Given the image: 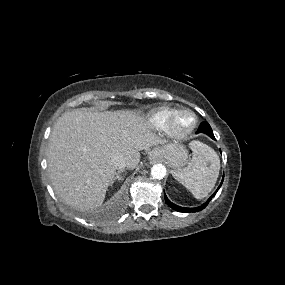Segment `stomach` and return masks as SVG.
<instances>
[{
  "label": "stomach",
  "mask_w": 285,
  "mask_h": 285,
  "mask_svg": "<svg viewBox=\"0 0 285 285\" xmlns=\"http://www.w3.org/2000/svg\"><path fill=\"white\" fill-rule=\"evenodd\" d=\"M150 157H155L167 161L172 168H177L184 164L188 158L186 148L178 142L156 147L150 152Z\"/></svg>",
  "instance_id": "stomach-1"
}]
</instances>
